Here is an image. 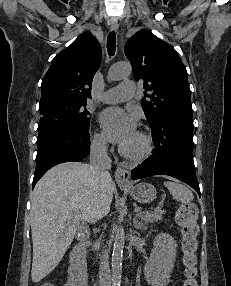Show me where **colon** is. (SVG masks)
Masks as SVG:
<instances>
[{
  "label": "colon",
  "instance_id": "obj_1",
  "mask_svg": "<svg viewBox=\"0 0 231 286\" xmlns=\"http://www.w3.org/2000/svg\"><path fill=\"white\" fill-rule=\"evenodd\" d=\"M176 221L181 227L185 281L183 286H198L197 283V236L199 234L198 209L194 203L182 204L176 211ZM40 286H54L45 282Z\"/></svg>",
  "mask_w": 231,
  "mask_h": 286
}]
</instances>
